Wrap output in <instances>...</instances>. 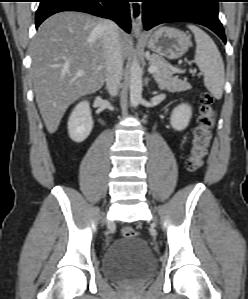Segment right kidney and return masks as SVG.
Listing matches in <instances>:
<instances>
[{
    "instance_id": "ca27d5eb",
    "label": "right kidney",
    "mask_w": 248,
    "mask_h": 299,
    "mask_svg": "<svg viewBox=\"0 0 248 299\" xmlns=\"http://www.w3.org/2000/svg\"><path fill=\"white\" fill-rule=\"evenodd\" d=\"M93 128V119L89 102L83 100L73 109L68 120V132L70 138L80 143L84 141Z\"/></svg>"
}]
</instances>
